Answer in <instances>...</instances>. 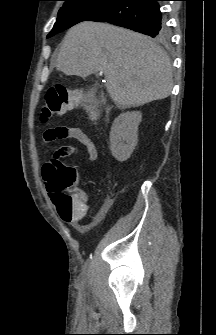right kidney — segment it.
<instances>
[{
    "mask_svg": "<svg viewBox=\"0 0 216 335\" xmlns=\"http://www.w3.org/2000/svg\"><path fill=\"white\" fill-rule=\"evenodd\" d=\"M142 114L139 111L120 114L113 122L110 131V150L119 162L130 158L138 143V126Z\"/></svg>",
    "mask_w": 216,
    "mask_h": 335,
    "instance_id": "obj_1",
    "label": "right kidney"
}]
</instances>
